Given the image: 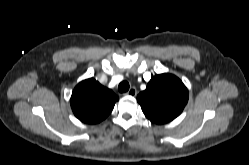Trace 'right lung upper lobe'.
Here are the masks:
<instances>
[{
    "label": "right lung upper lobe",
    "instance_id": "right-lung-upper-lobe-1",
    "mask_svg": "<svg viewBox=\"0 0 249 165\" xmlns=\"http://www.w3.org/2000/svg\"><path fill=\"white\" fill-rule=\"evenodd\" d=\"M119 98L111 89L102 86L94 78L80 82L73 90L71 108L82 122L96 124L112 111Z\"/></svg>",
    "mask_w": 249,
    "mask_h": 165
}]
</instances>
